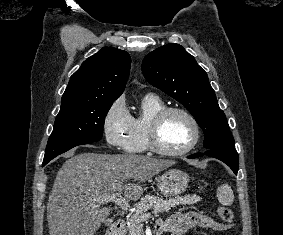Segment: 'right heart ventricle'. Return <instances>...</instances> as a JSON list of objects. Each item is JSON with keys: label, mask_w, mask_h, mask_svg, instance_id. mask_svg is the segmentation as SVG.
Wrapping results in <instances>:
<instances>
[{"label": "right heart ventricle", "mask_w": 283, "mask_h": 235, "mask_svg": "<svg viewBox=\"0 0 283 235\" xmlns=\"http://www.w3.org/2000/svg\"><path fill=\"white\" fill-rule=\"evenodd\" d=\"M165 103L154 94L145 95L140 102V112L130 116V124L124 137V150L128 153H145L147 145V129L150 120L163 108Z\"/></svg>", "instance_id": "obj_1"}]
</instances>
